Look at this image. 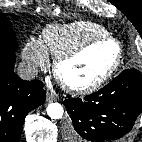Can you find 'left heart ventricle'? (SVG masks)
Here are the masks:
<instances>
[{
    "label": "left heart ventricle",
    "mask_w": 142,
    "mask_h": 142,
    "mask_svg": "<svg viewBox=\"0 0 142 142\" xmlns=\"http://www.w3.org/2000/svg\"><path fill=\"white\" fill-rule=\"evenodd\" d=\"M117 48L112 42L98 44L80 57L64 64L62 76L74 85H86L103 75L115 60Z\"/></svg>",
    "instance_id": "left-heart-ventricle-1"
}]
</instances>
